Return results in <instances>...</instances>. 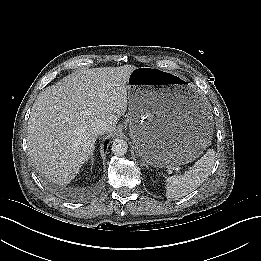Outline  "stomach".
<instances>
[{"instance_id":"stomach-1","label":"stomach","mask_w":261,"mask_h":261,"mask_svg":"<svg viewBox=\"0 0 261 261\" xmlns=\"http://www.w3.org/2000/svg\"><path fill=\"white\" fill-rule=\"evenodd\" d=\"M130 135L144 161L173 167L195 160L210 144L212 128L201 98L185 79L151 68L128 79Z\"/></svg>"}]
</instances>
